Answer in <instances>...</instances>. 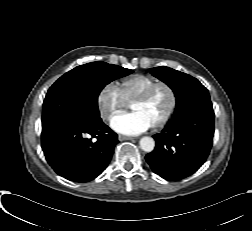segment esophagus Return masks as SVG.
<instances>
[{
	"instance_id": "esophagus-1",
	"label": "esophagus",
	"mask_w": 252,
	"mask_h": 231,
	"mask_svg": "<svg viewBox=\"0 0 252 231\" xmlns=\"http://www.w3.org/2000/svg\"><path fill=\"white\" fill-rule=\"evenodd\" d=\"M119 141H125V140H134V137H128V136H124V135H119L118 136Z\"/></svg>"
}]
</instances>
